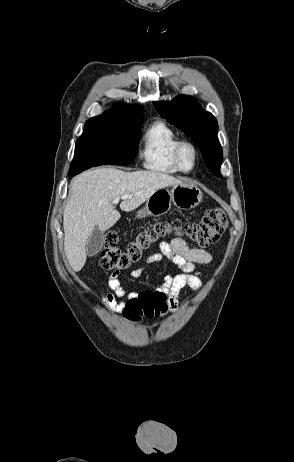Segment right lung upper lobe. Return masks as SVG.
<instances>
[{
  "label": "right lung upper lobe",
  "mask_w": 294,
  "mask_h": 462,
  "mask_svg": "<svg viewBox=\"0 0 294 462\" xmlns=\"http://www.w3.org/2000/svg\"><path fill=\"white\" fill-rule=\"evenodd\" d=\"M142 111V106H133L128 105L126 103H118L114 105V107L111 110L104 112L103 115L131 118L141 116Z\"/></svg>",
  "instance_id": "cb5924a9"
}]
</instances>
